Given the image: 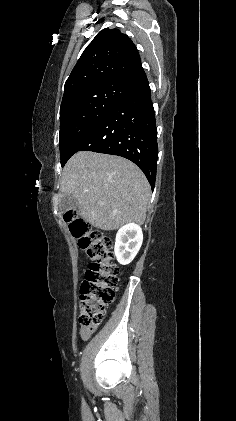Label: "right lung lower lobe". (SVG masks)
<instances>
[{
  "label": "right lung lower lobe",
  "mask_w": 236,
  "mask_h": 421,
  "mask_svg": "<svg viewBox=\"0 0 236 421\" xmlns=\"http://www.w3.org/2000/svg\"><path fill=\"white\" fill-rule=\"evenodd\" d=\"M126 92L74 148L122 156L134 162L146 175L152 189L158 159L157 129L151 89L144 70L127 76L120 84Z\"/></svg>",
  "instance_id": "1"
}]
</instances>
